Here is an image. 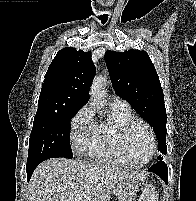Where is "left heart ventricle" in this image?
<instances>
[{
    "mask_svg": "<svg viewBox=\"0 0 196 201\" xmlns=\"http://www.w3.org/2000/svg\"><path fill=\"white\" fill-rule=\"evenodd\" d=\"M128 147L130 158L134 163L145 161L151 151V138L147 129L142 125H135L129 133Z\"/></svg>",
    "mask_w": 196,
    "mask_h": 201,
    "instance_id": "left-heart-ventricle-1",
    "label": "left heart ventricle"
}]
</instances>
